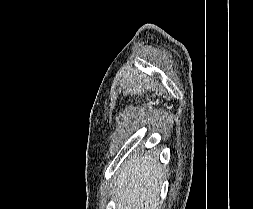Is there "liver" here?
<instances>
[{
    "instance_id": "liver-1",
    "label": "liver",
    "mask_w": 253,
    "mask_h": 209,
    "mask_svg": "<svg viewBox=\"0 0 253 209\" xmlns=\"http://www.w3.org/2000/svg\"><path fill=\"white\" fill-rule=\"evenodd\" d=\"M163 169L155 154L133 155L120 168L112 193L117 209H158Z\"/></svg>"
}]
</instances>
